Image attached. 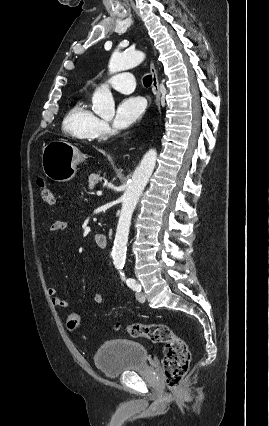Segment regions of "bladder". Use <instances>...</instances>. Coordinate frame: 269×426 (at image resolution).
<instances>
[{"instance_id": "obj_1", "label": "bladder", "mask_w": 269, "mask_h": 426, "mask_svg": "<svg viewBox=\"0 0 269 426\" xmlns=\"http://www.w3.org/2000/svg\"><path fill=\"white\" fill-rule=\"evenodd\" d=\"M93 360L104 376L115 378L147 366L148 353L134 340L115 338L104 343L95 352Z\"/></svg>"}]
</instances>
